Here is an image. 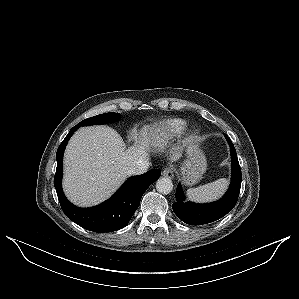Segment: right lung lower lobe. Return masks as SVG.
<instances>
[{
    "mask_svg": "<svg viewBox=\"0 0 299 299\" xmlns=\"http://www.w3.org/2000/svg\"><path fill=\"white\" fill-rule=\"evenodd\" d=\"M79 127L74 126L67 134L57 150V168L54 186L63 212L79 226L98 233L113 232L125 227L140 204L147 188L161 175L158 169L129 178L118 191L107 201L91 208H79L71 204L65 197L62 186L63 154L65 146L72 134Z\"/></svg>",
    "mask_w": 299,
    "mask_h": 299,
    "instance_id": "98d812e1",
    "label": "right lung lower lobe"
}]
</instances>
